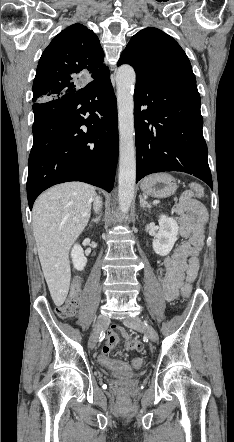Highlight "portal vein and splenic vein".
Wrapping results in <instances>:
<instances>
[{"instance_id":"portal-vein-and-splenic-vein-1","label":"portal vein and splenic vein","mask_w":234,"mask_h":442,"mask_svg":"<svg viewBox=\"0 0 234 442\" xmlns=\"http://www.w3.org/2000/svg\"><path fill=\"white\" fill-rule=\"evenodd\" d=\"M159 203V201H155V202H153V204H158Z\"/></svg>"}]
</instances>
